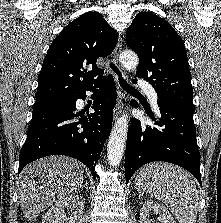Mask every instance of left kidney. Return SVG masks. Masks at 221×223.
<instances>
[{"mask_svg": "<svg viewBox=\"0 0 221 223\" xmlns=\"http://www.w3.org/2000/svg\"><path fill=\"white\" fill-rule=\"evenodd\" d=\"M151 210L158 214L156 221L149 219V212ZM157 221L160 223H176L174 218L164 206L149 200L143 204L140 210V223H157Z\"/></svg>", "mask_w": 221, "mask_h": 223, "instance_id": "1", "label": "left kidney"}]
</instances>
